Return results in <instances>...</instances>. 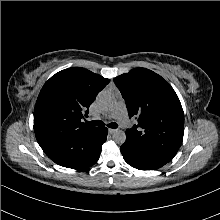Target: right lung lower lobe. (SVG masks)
Listing matches in <instances>:
<instances>
[{
	"instance_id": "obj_1",
	"label": "right lung lower lobe",
	"mask_w": 220,
	"mask_h": 220,
	"mask_svg": "<svg viewBox=\"0 0 220 220\" xmlns=\"http://www.w3.org/2000/svg\"><path fill=\"white\" fill-rule=\"evenodd\" d=\"M108 130L106 127H99L98 130L87 138L80 140L77 146L83 147L85 151L80 158L67 160L61 158L59 154H46L55 163L72 169H84L96 163L100 156L102 144L106 141Z\"/></svg>"
}]
</instances>
